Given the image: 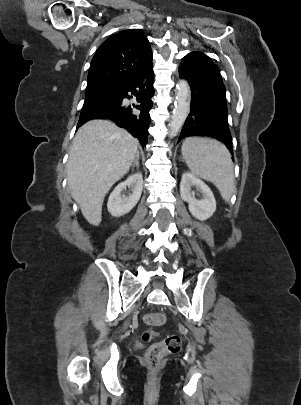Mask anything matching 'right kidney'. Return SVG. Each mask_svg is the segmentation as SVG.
<instances>
[{
	"instance_id": "obj_1",
	"label": "right kidney",
	"mask_w": 301,
	"mask_h": 405,
	"mask_svg": "<svg viewBox=\"0 0 301 405\" xmlns=\"http://www.w3.org/2000/svg\"><path fill=\"white\" fill-rule=\"evenodd\" d=\"M129 187L131 194L125 196L122 192ZM143 189V178L141 173L129 176L124 182L118 184L109 196L107 209L114 217H120L130 212L138 203Z\"/></svg>"
}]
</instances>
